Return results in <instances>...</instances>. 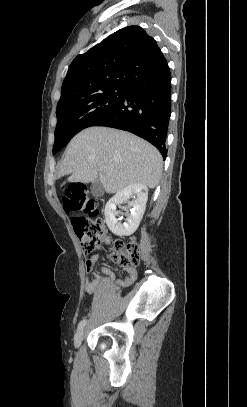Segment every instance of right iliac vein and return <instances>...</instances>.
Wrapping results in <instances>:
<instances>
[{"label": "right iliac vein", "instance_id": "right-iliac-vein-1", "mask_svg": "<svg viewBox=\"0 0 247 407\" xmlns=\"http://www.w3.org/2000/svg\"><path fill=\"white\" fill-rule=\"evenodd\" d=\"M83 330L78 331L74 336V346L77 348L82 342L83 339Z\"/></svg>", "mask_w": 247, "mask_h": 407}]
</instances>
